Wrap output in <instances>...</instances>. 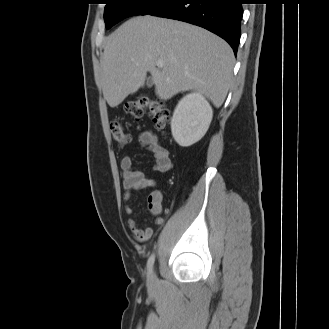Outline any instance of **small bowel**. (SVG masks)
<instances>
[{
    "label": "small bowel",
    "mask_w": 329,
    "mask_h": 329,
    "mask_svg": "<svg viewBox=\"0 0 329 329\" xmlns=\"http://www.w3.org/2000/svg\"><path fill=\"white\" fill-rule=\"evenodd\" d=\"M139 143L142 148L150 151L154 158L153 170L164 173L171 169L172 161L169 151L162 146L157 136L150 131H144L139 135ZM120 167L123 176L124 201L125 212L129 215L133 213L129 202L132 199L134 192L143 190L145 188H152L153 191L148 196V209L156 217L155 223L161 227L164 224V218L161 217L162 212V193L157 187L154 179L147 176L144 172L136 170L132 166V160L129 156H124L120 161ZM128 226L134 236L139 242H147L153 235V230L150 227L140 228L134 219L128 220Z\"/></svg>",
    "instance_id": "1"
}]
</instances>
